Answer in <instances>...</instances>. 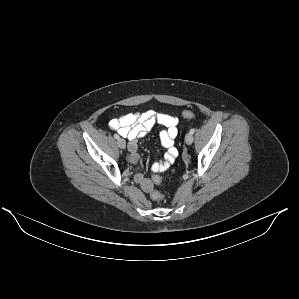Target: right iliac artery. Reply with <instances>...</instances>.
Returning a JSON list of instances; mask_svg holds the SVG:
<instances>
[{"instance_id":"1","label":"right iliac artery","mask_w":299,"mask_h":299,"mask_svg":"<svg viewBox=\"0 0 299 299\" xmlns=\"http://www.w3.org/2000/svg\"><path fill=\"white\" fill-rule=\"evenodd\" d=\"M114 138L118 139L119 135L118 134H114Z\"/></svg>"}]
</instances>
